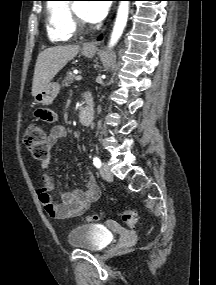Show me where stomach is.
<instances>
[{
    "label": "stomach",
    "mask_w": 216,
    "mask_h": 285,
    "mask_svg": "<svg viewBox=\"0 0 216 285\" xmlns=\"http://www.w3.org/2000/svg\"><path fill=\"white\" fill-rule=\"evenodd\" d=\"M97 49L94 48L92 50H82V55L88 58H91L95 55ZM60 91V85L56 82L49 83L41 92L37 93L34 96V100L38 104L42 105H50L53 103L54 99L57 97Z\"/></svg>",
    "instance_id": "1"
}]
</instances>
